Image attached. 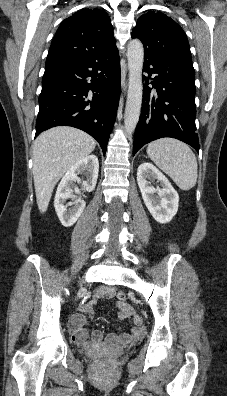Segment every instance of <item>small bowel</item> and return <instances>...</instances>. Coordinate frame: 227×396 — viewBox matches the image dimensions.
<instances>
[{"label": "small bowel", "instance_id": "small-bowel-1", "mask_svg": "<svg viewBox=\"0 0 227 396\" xmlns=\"http://www.w3.org/2000/svg\"><path fill=\"white\" fill-rule=\"evenodd\" d=\"M118 292L114 287H102L95 293L93 299L84 304L82 307V312L85 315H91L93 313L94 304L102 298H113L117 297V306L119 308L118 317L121 320L128 319L131 324L130 333H121V334H109L104 340L103 334L100 330L95 329L89 333L84 328L86 323V318L83 314L73 315L69 320V327L72 332L73 340L83 346L88 347H98L104 341L108 344H117V343H130L139 339L142 335V327L140 325L139 318L134 314L132 307L125 302L124 298H118Z\"/></svg>", "mask_w": 227, "mask_h": 396}]
</instances>
